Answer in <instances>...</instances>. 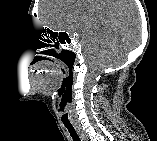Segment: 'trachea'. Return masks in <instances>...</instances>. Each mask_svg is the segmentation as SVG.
I'll list each match as a JSON object with an SVG mask.
<instances>
[{
	"label": "trachea",
	"instance_id": "trachea-1",
	"mask_svg": "<svg viewBox=\"0 0 157 141\" xmlns=\"http://www.w3.org/2000/svg\"><path fill=\"white\" fill-rule=\"evenodd\" d=\"M70 133V136L72 137L73 141H80V138L78 134L76 133L75 129L73 126H65Z\"/></svg>",
	"mask_w": 157,
	"mask_h": 141
}]
</instances>
